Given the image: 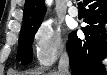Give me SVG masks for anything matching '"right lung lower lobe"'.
I'll return each mask as SVG.
<instances>
[{"label": "right lung lower lobe", "instance_id": "98d812e1", "mask_svg": "<svg viewBox=\"0 0 107 75\" xmlns=\"http://www.w3.org/2000/svg\"><path fill=\"white\" fill-rule=\"evenodd\" d=\"M89 7L85 22L86 27L81 28L85 39L78 38L72 32L67 42L70 67L74 75H105L102 59L106 55V29L107 1L84 0Z\"/></svg>", "mask_w": 107, "mask_h": 75}]
</instances>
